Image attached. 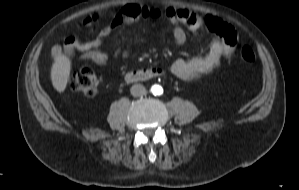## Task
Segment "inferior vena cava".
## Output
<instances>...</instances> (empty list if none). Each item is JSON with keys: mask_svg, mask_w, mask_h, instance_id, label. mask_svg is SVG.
I'll return each mask as SVG.
<instances>
[{"mask_svg": "<svg viewBox=\"0 0 299 190\" xmlns=\"http://www.w3.org/2000/svg\"><path fill=\"white\" fill-rule=\"evenodd\" d=\"M130 91H131V94L134 97L144 96L146 94V89L141 84H135V85H133L131 87Z\"/></svg>", "mask_w": 299, "mask_h": 190, "instance_id": "1", "label": "inferior vena cava"}]
</instances>
